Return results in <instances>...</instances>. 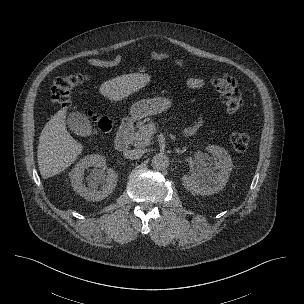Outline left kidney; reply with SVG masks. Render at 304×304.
Instances as JSON below:
<instances>
[{
    "label": "left kidney",
    "instance_id": "1",
    "mask_svg": "<svg viewBox=\"0 0 304 304\" xmlns=\"http://www.w3.org/2000/svg\"><path fill=\"white\" fill-rule=\"evenodd\" d=\"M206 150L217 160L214 169L207 162L208 156L206 154L197 153L192 174L182 177L184 187L192 194L204 196L219 192L228 182L233 167L231 157L224 148L209 145ZM215 169L218 171L215 172Z\"/></svg>",
    "mask_w": 304,
    "mask_h": 304
}]
</instances>
